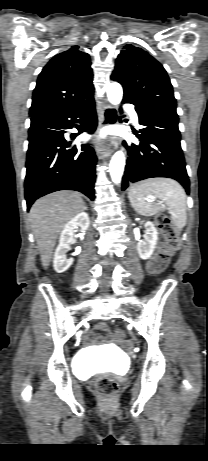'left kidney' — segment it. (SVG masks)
<instances>
[{
  "mask_svg": "<svg viewBox=\"0 0 208 461\" xmlns=\"http://www.w3.org/2000/svg\"><path fill=\"white\" fill-rule=\"evenodd\" d=\"M145 235L143 240L137 243V251L141 259L147 260L151 257L157 244L158 232L150 221L145 223Z\"/></svg>",
  "mask_w": 208,
  "mask_h": 461,
  "instance_id": "5707ae66",
  "label": "left kidney"
}]
</instances>
